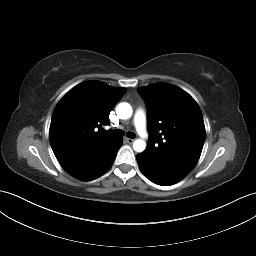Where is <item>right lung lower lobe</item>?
Masks as SVG:
<instances>
[{
    "instance_id": "98d812e1",
    "label": "right lung lower lobe",
    "mask_w": 256,
    "mask_h": 256,
    "mask_svg": "<svg viewBox=\"0 0 256 256\" xmlns=\"http://www.w3.org/2000/svg\"><path fill=\"white\" fill-rule=\"evenodd\" d=\"M121 145L122 138L120 137L116 142L101 147L92 155L62 167L76 179L83 181L94 180L112 166Z\"/></svg>"
}]
</instances>
